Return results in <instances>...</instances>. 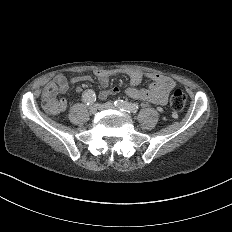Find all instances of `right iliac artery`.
<instances>
[{
	"instance_id": "1",
	"label": "right iliac artery",
	"mask_w": 232,
	"mask_h": 232,
	"mask_svg": "<svg viewBox=\"0 0 232 232\" xmlns=\"http://www.w3.org/2000/svg\"><path fill=\"white\" fill-rule=\"evenodd\" d=\"M82 101L90 104L96 101V94L93 90H86L82 93Z\"/></svg>"
}]
</instances>
